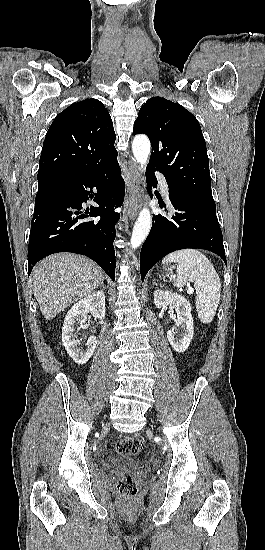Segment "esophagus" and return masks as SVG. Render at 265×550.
<instances>
[{"label": "esophagus", "instance_id": "esophagus-1", "mask_svg": "<svg viewBox=\"0 0 265 550\" xmlns=\"http://www.w3.org/2000/svg\"><path fill=\"white\" fill-rule=\"evenodd\" d=\"M128 200H127V215L130 219H135L140 209V192H139V177L138 167L136 162L131 159L128 164Z\"/></svg>", "mask_w": 265, "mask_h": 550}]
</instances>
